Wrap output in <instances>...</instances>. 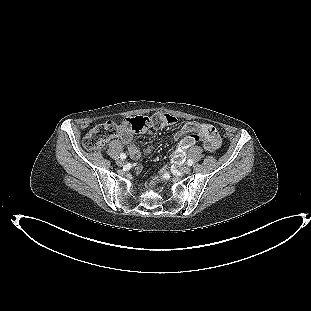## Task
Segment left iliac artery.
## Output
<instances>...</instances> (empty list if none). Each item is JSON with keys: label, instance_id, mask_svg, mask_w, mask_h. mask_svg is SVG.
Masks as SVG:
<instances>
[{"label": "left iliac artery", "instance_id": "1", "mask_svg": "<svg viewBox=\"0 0 311 311\" xmlns=\"http://www.w3.org/2000/svg\"><path fill=\"white\" fill-rule=\"evenodd\" d=\"M187 164H188L189 166H192V165H193V160H192V159L187 160Z\"/></svg>", "mask_w": 311, "mask_h": 311}]
</instances>
